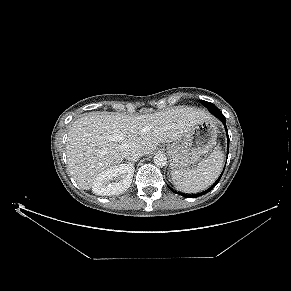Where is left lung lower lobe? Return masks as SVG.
Returning <instances> with one entry per match:
<instances>
[{
	"label": "left lung lower lobe",
	"instance_id": "obj_1",
	"mask_svg": "<svg viewBox=\"0 0 291 291\" xmlns=\"http://www.w3.org/2000/svg\"><path fill=\"white\" fill-rule=\"evenodd\" d=\"M211 113H213L216 117H218V118L223 122V124L225 125V129H226L227 137H228V149H227V154H228V150H229V136H228V131H227V128H226L225 117H224V115L222 114V112H221L219 109H217V110H213V111H211ZM223 171H224V169H223ZM223 171H222L221 175H220V176L215 180V182L212 184V186H211L210 188H208L207 190H205V191H203V192H201V193H199V194H192V195L180 194V195H182V196H184V197L195 198V197H199V196H201V195H204V194L208 193V192L211 191V190L216 186V184L219 182V180H220V178H221V176H222V174H223ZM172 192L176 193V192L173 191V190H172Z\"/></svg>",
	"mask_w": 291,
	"mask_h": 291
}]
</instances>
